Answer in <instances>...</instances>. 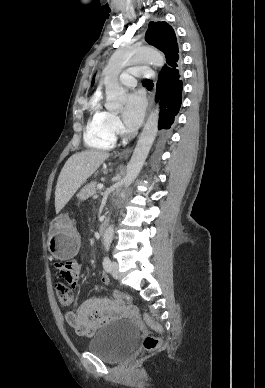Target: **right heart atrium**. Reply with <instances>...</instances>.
Wrapping results in <instances>:
<instances>
[{
    "label": "right heart atrium",
    "instance_id": "right-heart-atrium-1",
    "mask_svg": "<svg viewBox=\"0 0 265 388\" xmlns=\"http://www.w3.org/2000/svg\"><path fill=\"white\" fill-rule=\"evenodd\" d=\"M108 129L113 134H121L124 132V128H123V125H122L120 119L114 114L109 115Z\"/></svg>",
    "mask_w": 265,
    "mask_h": 388
}]
</instances>
